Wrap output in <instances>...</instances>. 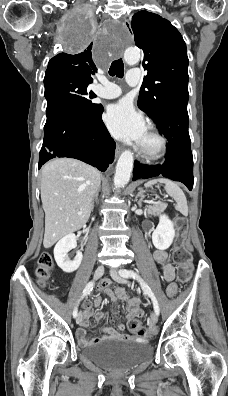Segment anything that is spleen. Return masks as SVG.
Returning a JSON list of instances; mask_svg holds the SVG:
<instances>
[{"instance_id": "obj_1", "label": "spleen", "mask_w": 228, "mask_h": 396, "mask_svg": "<svg viewBox=\"0 0 228 396\" xmlns=\"http://www.w3.org/2000/svg\"><path fill=\"white\" fill-rule=\"evenodd\" d=\"M156 183L165 184L166 192L176 201L175 209L184 216H187L188 215L187 200L181 188L177 184L166 178H157L150 180L149 182H147L146 187H150Z\"/></svg>"}]
</instances>
